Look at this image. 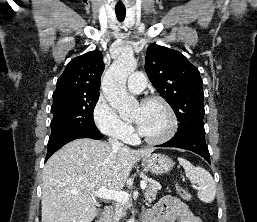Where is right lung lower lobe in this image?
Segmentation results:
<instances>
[{"label": "right lung lower lobe", "mask_w": 257, "mask_h": 222, "mask_svg": "<svg viewBox=\"0 0 257 222\" xmlns=\"http://www.w3.org/2000/svg\"><path fill=\"white\" fill-rule=\"evenodd\" d=\"M102 137L103 135L100 133H84V132H71V133L58 136L48 141V150H47L45 161H47L54 152H56L63 145H65L66 143L72 140L79 139V138H92L95 140H99Z\"/></svg>", "instance_id": "obj_1"}]
</instances>
